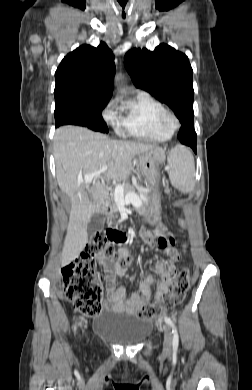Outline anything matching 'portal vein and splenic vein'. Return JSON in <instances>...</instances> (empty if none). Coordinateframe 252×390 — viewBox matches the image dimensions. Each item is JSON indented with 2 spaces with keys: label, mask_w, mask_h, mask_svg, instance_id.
Segmentation results:
<instances>
[{
  "label": "portal vein and splenic vein",
  "mask_w": 252,
  "mask_h": 390,
  "mask_svg": "<svg viewBox=\"0 0 252 390\" xmlns=\"http://www.w3.org/2000/svg\"><path fill=\"white\" fill-rule=\"evenodd\" d=\"M108 167H103L101 170L95 173H91L88 175H85L84 177L78 178V182L82 183L85 182L87 184H90L93 180H95L103 171H105ZM115 197L118 203L120 204H133L136 207H139L141 205V200L138 197L137 194L134 192H129L124 196V186L119 184L115 188Z\"/></svg>",
  "instance_id": "portal-vein-and-splenic-vein-1"
}]
</instances>
